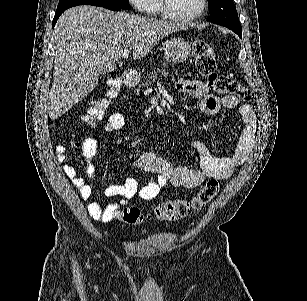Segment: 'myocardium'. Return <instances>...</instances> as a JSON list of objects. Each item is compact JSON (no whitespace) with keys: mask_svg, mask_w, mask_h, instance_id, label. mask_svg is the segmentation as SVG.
I'll list each match as a JSON object with an SVG mask.
<instances>
[{"mask_svg":"<svg viewBox=\"0 0 307 301\" xmlns=\"http://www.w3.org/2000/svg\"><path fill=\"white\" fill-rule=\"evenodd\" d=\"M161 1L165 3V6H158L159 13L156 14V17H165L166 22H195V18L203 15L206 6V0H200L197 11H170L168 9L171 6L169 0Z\"/></svg>","mask_w":307,"mask_h":301,"instance_id":"myocardium-1","label":"myocardium"}]
</instances>
